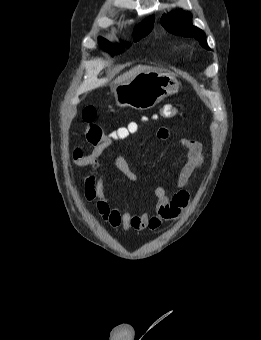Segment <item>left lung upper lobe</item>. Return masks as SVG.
I'll return each mask as SVG.
<instances>
[{"instance_id":"5c2ea615","label":"left lung upper lobe","mask_w":261,"mask_h":340,"mask_svg":"<svg viewBox=\"0 0 261 340\" xmlns=\"http://www.w3.org/2000/svg\"><path fill=\"white\" fill-rule=\"evenodd\" d=\"M192 15L190 12L178 11L170 14H164L161 18V24L171 33L187 37H194L206 49L210 48L206 42L205 33L192 25Z\"/></svg>"}]
</instances>
